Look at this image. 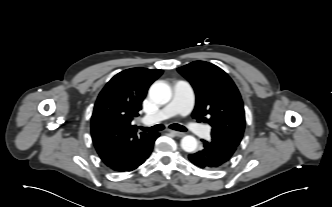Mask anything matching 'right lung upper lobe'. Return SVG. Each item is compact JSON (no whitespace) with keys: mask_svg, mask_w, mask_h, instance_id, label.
<instances>
[{"mask_svg":"<svg viewBox=\"0 0 332 207\" xmlns=\"http://www.w3.org/2000/svg\"><path fill=\"white\" fill-rule=\"evenodd\" d=\"M162 72L127 69L115 75L100 92L91 118V135L106 165L123 164L143 151L152 133L137 134L132 120L139 115L148 88Z\"/></svg>","mask_w":332,"mask_h":207,"instance_id":"obj_1","label":"right lung upper lobe"}]
</instances>
